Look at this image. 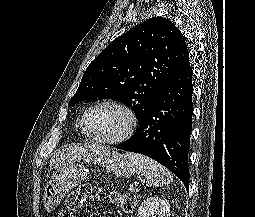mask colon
<instances>
[{
  "instance_id": "1",
  "label": "colon",
  "mask_w": 255,
  "mask_h": 217,
  "mask_svg": "<svg viewBox=\"0 0 255 217\" xmlns=\"http://www.w3.org/2000/svg\"><path fill=\"white\" fill-rule=\"evenodd\" d=\"M95 197L99 199L107 198L127 213L133 212L137 204V196L134 193L94 191L91 185L86 184L68 194L65 201L66 207L59 212L58 217H73V212L81 209L85 204L91 203Z\"/></svg>"
}]
</instances>
